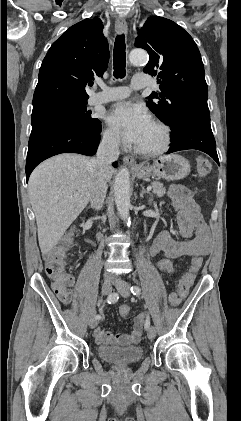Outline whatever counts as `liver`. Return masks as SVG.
<instances>
[{"instance_id":"1","label":"liver","mask_w":241,"mask_h":421,"mask_svg":"<svg viewBox=\"0 0 241 421\" xmlns=\"http://www.w3.org/2000/svg\"><path fill=\"white\" fill-rule=\"evenodd\" d=\"M93 160L79 154H60L44 161L32 172L28 194L43 255L61 240L87 206L93 183ZM113 173L112 168L107 171V181Z\"/></svg>"}]
</instances>
